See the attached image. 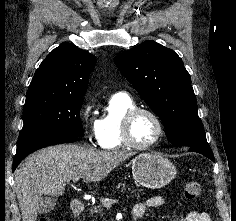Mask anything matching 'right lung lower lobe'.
Wrapping results in <instances>:
<instances>
[{
	"mask_svg": "<svg viewBox=\"0 0 236 221\" xmlns=\"http://www.w3.org/2000/svg\"><path fill=\"white\" fill-rule=\"evenodd\" d=\"M78 138L70 135H36L21 141H18L16 155L13 160L12 172L16 169L17 165L26 157L28 154L55 144L70 143L77 141Z\"/></svg>",
	"mask_w": 236,
	"mask_h": 221,
	"instance_id": "1",
	"label": "right lung lower lobe"
}]
</instances>
